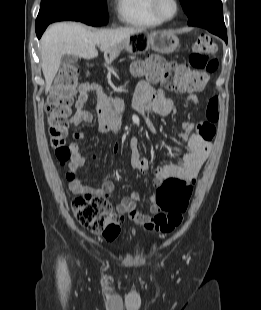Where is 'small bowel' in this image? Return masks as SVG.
<instances>
[{
    "instance_id": "obj_1",
    "label": "small bowel",
    "mask_w": 261,
    "mask_h": 310,
    "mask_svg": "<svg viewBox=\"0 0 261 310\" xmlns=\"http://www.w3.org/2000/svg\"><path fill=\"white\" fill-rule=\"evenodd\" d=\"M90 94H95L98 97V108L102 114L100 121V129L103 132L113 130V124L104 116V110L106 108H114L117 111L123 109V101L115 96L108 95L102 88H100L94 82H84L79 86V94L76 101V112L71 119V123L74 126H79L82 123H90L93 120L92 113L86 109V105ZM188 101L192 104H197L199 98L196 94H190ZM173 101L164 96L161 90L155 89L146 81L139 83L137 91L134 95L133 106L134 109L144 114L147 111H154L160 115H167L173 109ZM148 127L153 131V127L150 122L146 120ZM180 138L187 141L188 151L177 162H170L158 166L154 171V184L159 185L163 180L170 176L181 177L191 183H194L201 167L208 158L211 150V140L203 138L197 130H195V124L192 122L183 123V131L179 134ZM74 139L82 140L84 134L81 131H75L73 133ZM76 141H72L69 144L71 152L69 173L74 175V178L69 182L70 190L75 194L93 193L96 195H102L104 197H110L114 188L111 181L106 180L99 188H92L81 183L77 178V171L85 164L86 154H83L80 150V146ZM118 145L114 146V152L118 153ZM131 150V164L141 173H145L150 169V161L146 157L140 155L138 140L132 138L130 140ZM94 159L97 157L92 156ZM140 200L138 192H133L129 196L124 197L116 206V214L124 216L128 214L129 217L137 224L146 227L152 223L154 217L160 213L159 207L153 203L147 214H144L137 210L136 204Z\"/></svg>"
}]
</instances>
